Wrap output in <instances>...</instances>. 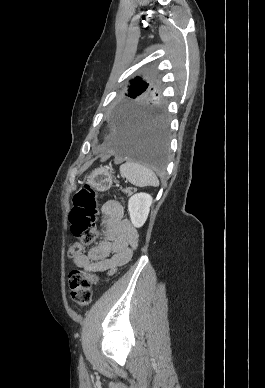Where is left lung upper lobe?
Here are the masks:
<instances>
[{
    "label": "left lung upper lobe",
    "instance_id": "left-lung-upper-lobe-1",
    "mask_svg": "<svg viewBox=\"0 0 265 388\" xmlns=\"http://www.w3.org/2000/svg\"><path fill=\"white\" fill-rule=\"evenodd\" d=\"M131 84L127 90L128 100L123 102L119 109L161 107L164 103L155 87L142 81L140 77H136Z\"/></svg>",
    "mask_w": 265,
    "mask_h": 388
}]
</instances>
